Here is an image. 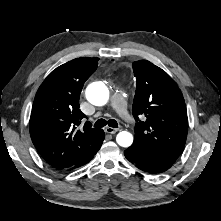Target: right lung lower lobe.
<instances>
[{
	"mask_svg": "<svg viewBox=\"0 0 221 221\" xmlns=\"http://www.w3.org/2000/svg\"><path fill=\"white\" fill-rule=\"evenodd\" d=\"M104 137H105V134H104V136H103V138H102V140H101V144H100L99 148L95 151V153H94L91 157H89V158L83 160L82 162H80V163H78V164H76V165H74V166L68 168L67 170H72V169L78 168V167H80V166L85 165V164L88 163L89 161H91L92 158H93V156H94V155L97 153V151L100 149V147H101V145H102V142H103V140H104Z\"/></svg>",
	"mask_w": 221,
	"mask_h": 221,
	"instance_id": "1",
	"label": "right lung lower lobe"
}]
</instances>
